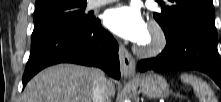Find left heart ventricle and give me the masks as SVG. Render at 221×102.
<instances>
[{
    "mask_svg": "<svg viewBox=\"0 0 221 102\" xmlns=\"http://www.w3.org/2000/svg\"><path fill=\"white\" fill-rule=\"evenodd\" d=\"M148 40V34L145 36L142 42H146Z\"/></svg>",
    "mask_w": 221,
    "mask_h": 102,
    "instance_id": "b2bd125f",
    "label": "left heart ventricle"
}]
</instances>
